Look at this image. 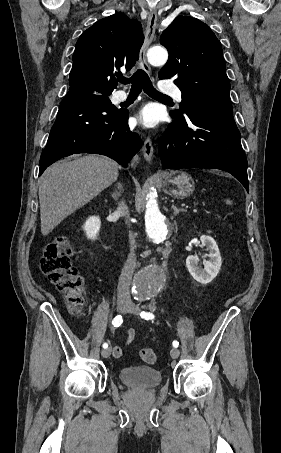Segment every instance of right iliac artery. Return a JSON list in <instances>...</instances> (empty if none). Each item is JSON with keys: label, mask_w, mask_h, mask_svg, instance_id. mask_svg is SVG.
<instances>
[{"label": "right iliac artery", "mask_w": 281, "mask_h": 453, "mask_svg": "<svg viewBox=\"0 0 281 453\" xmlns=\"http://www.w3.org/2000/svg\"><path fill=\"white\" fill-rule=\"evenodd\" d=\"M122 322H123L122 316L118 315L113 319L112 324L114 325V327H119L122 324ZM107 347H108V344L104 343L103 348H107Z\"/></svg>", "instance_id": "82829eb1"}]
</instances>
